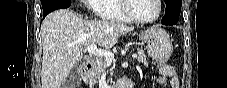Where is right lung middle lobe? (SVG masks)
Here are the masks:
<instances>
[{"instance_id": "obj_1", "label": "right lung middle lobe", "mask_w": 227, "mask_h": 88, "mask_svg": "<svg viewBox=\"0 0 227 88\" xmlns=\"http://www.w3.org/2000/svg\"><path fill=\"white\" fill-rule=\"evenodd\" d=\"M43 8V16L56 9L68 8L71 5V0H41Z\"/></svg>"}]
</instances>
